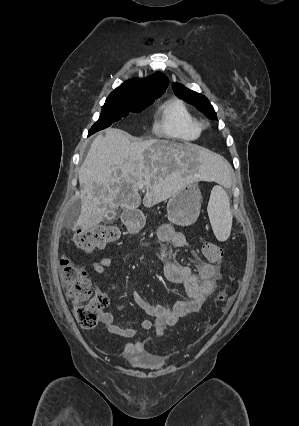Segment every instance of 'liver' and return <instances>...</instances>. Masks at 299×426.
<instances>
[{
    "label": "liver",
    "mask_w": 299,
    "mask_h": 426,
    "mask_svg": "<svg viewBox=\"0 0 299 426\" xmlns=\"http://www.w3.org/2000/svg\"><path fill=\"white\" fill-rule=\"evenodd\" d=\"M231 174L220 155L189 143L150 139L131 142L120 129L97 135L79 170L81 212L76 228L88 230L102 222L108 208L151 207L192 181ZM142 188V189H143Z\"/></svg>",
    "instance_id": "6515ba94"
}]
</instances>
